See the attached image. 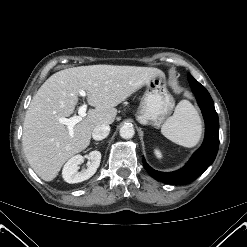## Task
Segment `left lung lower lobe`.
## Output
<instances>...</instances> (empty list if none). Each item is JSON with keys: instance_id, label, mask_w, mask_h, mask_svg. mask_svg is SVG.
Here are the masks:
<instances>
[{"instance_id": "obj_1", "label": "left lung lower lobe", "mask_w": 247, "mask_h": 247, "mask_svg": "<svg viewBox=\"0 0 247 247\" xmlns=\"http://www.w3.org/2000/svg\"><path fill=\"white\" fill-rule=\"evenodd\" d=\"M188 80L205 120V139L189 162L175 172H159L152 169L143 158L147 172L156 180L174 185H184L199 177L214 161L219 148V120L209 92L191 75Z\"/></svg>"}]
</instances>
